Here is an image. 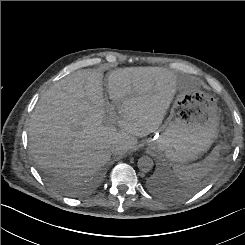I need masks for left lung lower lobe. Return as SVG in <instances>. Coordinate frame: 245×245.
<instances>
[{
  "mask_svg": "<svg viewBox=\"0 0 245 245\" xmlns=\"http://www.w3.org/2000/svg\"><path fill=\"white\" fill-rule=\"evenodd\" d=\"M148 186L152 191H156L158 195L168 199H177L185 196L187 189L185 185L174 184L173 180L159 174L148 182Z\"/></svg>",
  "mask_w": 245,
  "mask_h": 245,
  "instance_id": "0a47b994",
  "label": "left lung lower lobe"
}]
</instances>
